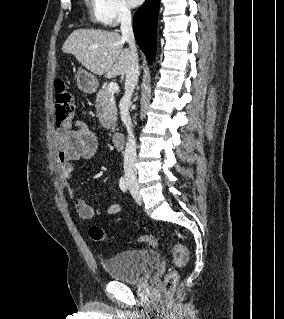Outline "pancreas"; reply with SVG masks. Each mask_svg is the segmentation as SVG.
<instances>
[{
    "label": "pancreas",
    "instance_id": "obj_1",
    "mask_svg": "<svg viewBox=\"0 0 284 319\" xmlns=\"http://www.w3.org/2000/svg\"><path fill=\"white\" fill-rule=\"evenodd\" d=\"M96 114L100 124L106 128H114L117 121L115 98L107 88L99 90L96 97Z\"/></svg>",
    "mask_w": 284,
    "mask_h": 319
}]
</instances>
